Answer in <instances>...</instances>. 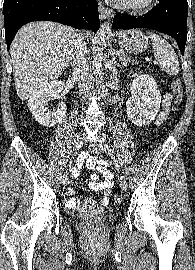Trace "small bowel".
I'll use <instances>...</instances> for the list:
<instances>
[{"instance_id":"c3829d8e","label":"small bowel","mask_w":195,"mask_h":270,"mask_svg":"<svg viewBox=\"0 0 195 270\" xmlns=\"http://www.w3.org/2000/svg\"><path fill=\"white\" fill-rule=\"evenodd\" d=\"M171 102V96L168 93L163 95L161 111L157 116L156 123H161L166 119L169 113V106ZM85 164L86 167L90 170H97L102 174L103 180L99 181V174L93 173L91 174V182L89 183V188L92 191H103L104 197L101 201V205H107L109 203V196L111 189L114 185V174L110 170L109 164L107 161L90 154H83L80 156L78 160V164ZM73 194V190L70 189L65 195V203L67 207H75L79 200L71 197ZM90 202V201H89Z\"/></svg>"}]
</instances>
